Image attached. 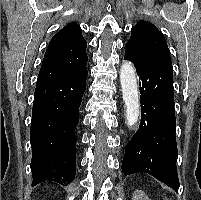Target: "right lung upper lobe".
I'll return each instance as SVG.
<instances>
[{
	"instance_id": "right-lung-upper-lobe-1",
	"label": "right lung upper lobe",
	"mask_w": 201,
	"mask_h": 200,
	"mask_svg": "<svg viewBox=\"0 0 201 200\" xmlns=\"http://www.w3.org/2000/svg\"><path fill=\"white\" fill-rule=\"evenodd\" d=\"M81 28L70 23L51 39L36 86L54 83L78 73L88 61Z\"/></svg>"
}]
</instances>
